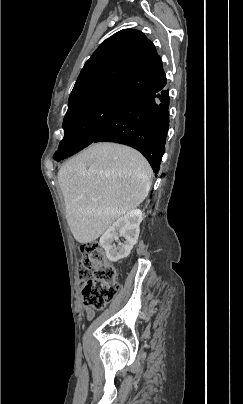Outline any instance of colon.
I'll list each match as a JSON object with an SVG mask.
<instances>
[{
  "label": "colon",
  "mask_w": 243,
  "mask_h": 404,
  "mask_svg": "<svg viewBox=\"0 0 243 404\" xmlns=\"http://www.w3.org/2000/svg\"><path fill=\"white\" fill-rule=\"evenodd\" d=\"M80 249L82 266L79 277L83 301L90 309L101 310L113 300L119 290L118 269L97 242L83 243ZM90 271L92 275L89 277Z\"/></svg>",
  "instance_id": "5ec220e1"
}]
</instances>
